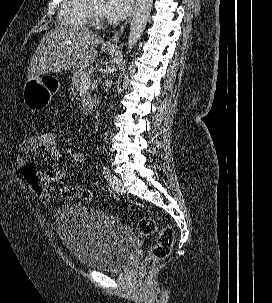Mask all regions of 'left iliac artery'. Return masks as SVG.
I'll return each instance as SVG.
<instances>
[{
  "label": "left iliac artery",
  "instance_id": "1",
  "mask_svg": "<svg viewBox=\"0 0 272 303\" xmlns=\"http://www.w3.org/2000/svg\"><path fill=\"white\" fill-rule=\"evenodd\" d=\"M103 175L106 179H108L109 176H110V171H109V168L107 166H103Z\"/></svg>",
  "mask_w": 272,
  "mask_h": 303
}]
</instances>
